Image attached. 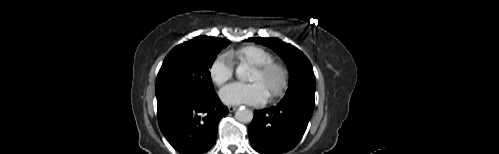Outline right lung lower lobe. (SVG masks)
Instances as JSON below:
<instances>
[{
  "mask_svg": "<svg viewBox=\"0 0 499 154\" xmlns=\"http://www.w3.org/2000/svg\"><path fill=\"white\" fill-rule=\"evenodd\" d=\"M158 122L181 154H201L216 141L217 125L228 113L215 91L205 95L174 92L157 98Z\"/></svg>",
  "mask_w": 499,
  "mask_h": 154,
  "instance_id": "right-lung-lower-lobe-1",
  "label": "right lung lower lobe"
}]
</instances>
